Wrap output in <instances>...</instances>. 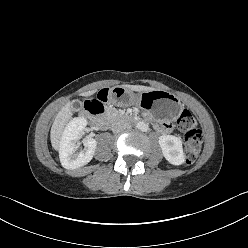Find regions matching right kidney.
Returning <instances> with one entry per match:
<instances>
[{"instance_id":"ca27d5eb","label":"right kidney","mask_w":248,"mask_h":248,"mask_svg":"<svg viewBox=\"0 0 248 248\" xmlns=\"http://www.w3.org/2000/svg\"><path fill=\"white\" fill-rule=\"evenodd\" d=\"M87 125L83 117L73 118L65 127L59 148L61 165L68 170H74L88 164L95 153L97 142L93 138L86 137L82 143L84 149L77 151L76 142L81 138V133Z\"/></svg>"}]
</instances>
